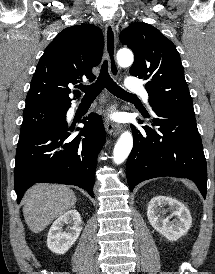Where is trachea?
<instances>
[{
    "mask_svg": "<svg viewBox=\"0 0 215 274\" xmlns=\"http://www.w3.org/2000/svg\"><path fill=\"white\" fill-rule=\"evenodd\" d=\"M78 88L85 93L84 97L88 98L96 97L104 88L118 97H136V95L125 91L113 81L108 73V62L106 60L101 67L98 79L91 85H79Z\"/></svg>",
    "mask_w": 215,
    "mask_h": 274,
    "instance_id": "1",
    "label": "trachea"
}]
</instances>
